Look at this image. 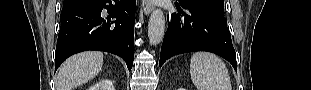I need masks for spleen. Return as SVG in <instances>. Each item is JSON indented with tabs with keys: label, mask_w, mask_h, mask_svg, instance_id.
Returning <instances> with one entry per match:
<instances>
[{
	"label": "spleen",
	"mask_w": 311,
	"mask_h": 90,
	"mask_svg": "<svg viewBox=\"0 0 311 90\" xmlns=\"http://www.w3.org/2000/svg\"><path fill=\"white\" fill-rule=\"evenodd\" d=\"M190 75L198 90H231L226 65L215 54L194 53L190 60Z\"/></svg>",
	"instance_id": "spleen-1"
}]
</instances>
